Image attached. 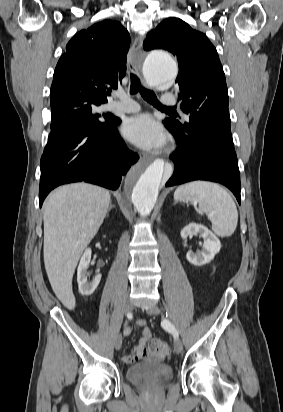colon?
Returning <instances> with one entry per match:
<instances>
[{
    "label": "colon",
    "instance_id": "1",
    "mask_svg": "<svg viewBox=\"0 0 283 412\" xmlns=\"http://www.w3.org/2000/svg\"><path fill=\"white\" fill-rule=\"evenodd\" d=\"M148 347L151 354L156 358H163L170 353L169 346L165 342L158 339L150 340Z\"/></svg>",
    "mask_w": 283,
    "mask_h": 412
}]
</instances>
